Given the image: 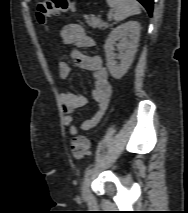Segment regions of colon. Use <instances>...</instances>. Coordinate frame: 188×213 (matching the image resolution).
<instances>
[{
	"instance_id": "obj_1",
	"label": "colon",
	"mask_w": 188,
	"mask_h": 213,
	"mask_svg": "<svg viewBox=\"0 0 188 213\" xmlns=\"http://www.w3.org/2000/svg\"><path fill=\"white\" fill-rule=\"evenodd\" d=\"M75 10L72 0H40L36 7V17L40 24L45 25L48 19L61 12ZM90 143L87 137L77 136L71 142V152L74 158L82 159L89 152Z\"/></svg>"
}]
</instances>
